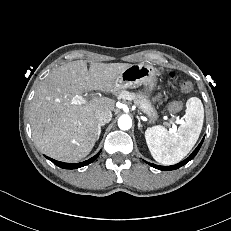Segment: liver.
Segmentation results:
<instances>
[{"label": "liver", "instance_id": "6515ba94", "mask_svg": "<svg viewBox=\"0 0 231 231\" xmlns=\"http://www.w3.org/2000/svg\"><path fill=\"white\" fill-rule=\"evenodd\" d=\"M128 63L90 64L72 61L52 71L37 88L30 105L29 119L38 148L51 158L78 162L85 158L98 140L99 109L113 110L115 101L94 98L72 104L76 95L91 90L115 91V80Z\"/></svg>", "mask_w": 231, "mask_h": 231}]
</instances>
